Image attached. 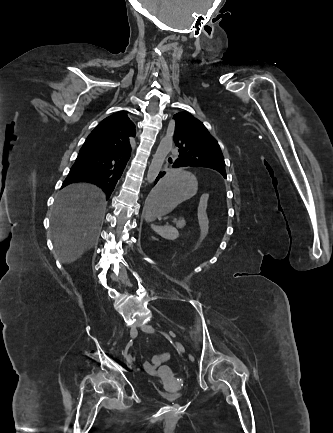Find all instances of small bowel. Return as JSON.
<instances>
[{
    "label": "small bowel",
    "mask_w": 333,
    "mask_h": 433,
    "mask_svg": "<svg viewBox=\"0 0 333 433\" xmlns=\"http://www.w3.org/2000/svg\"><path fill=\"white\" fill-rule=\"evenodd\" d=\"M145 368H146V370L149 372V373H151V374H154V373H156V369L155 368H151L149 365H148V363H145Z\"/></svg>",
    "instance_id": "1"
}]
</instances>
